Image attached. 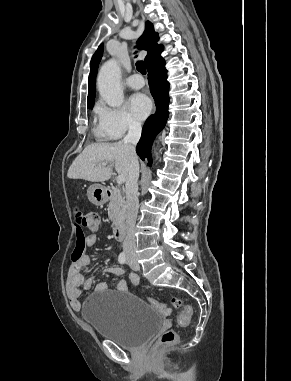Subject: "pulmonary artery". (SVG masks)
I'll return each instance as SVG.
<instances>
[{"label": "pulmonary artery", "mask_w": 291, "mask_h": 381, "mask_svg": "<svg viewBox=\"0 0 291 381\" xmlns=\"http://www.w3.org/2000/svg\"><path fill=\"white\" fill-rule=\"evenodd\" d=\"M145 82L141 75L133 74L128 77L127 85L131 89H141L144 86Z\"/></svg>", "instance_id": "1"}]
</instances>
